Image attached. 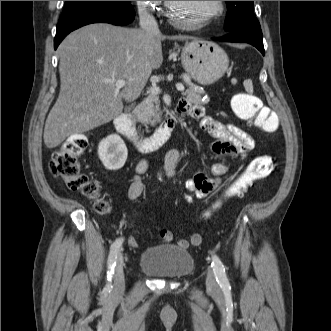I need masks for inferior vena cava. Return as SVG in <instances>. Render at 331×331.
I'll use <instances>...</instances> for the list:
<instances>
[{
  "mask_svg": "<svg viewBox=\"0 0 331 331\" xmlns=\"http://www.w3.org/2000/svg\"><path fill=\"white\" fill-rule=\"evenodd\" d=\"M140 27L152 35L160 34L158 24L153 15L146 10L140 12Z\"/></svg>",
  "mask_w": 331,
  "mask_h": 331,
  "instance_id": "inferior-vena-cava-1",
  "label": "inferior vena cava"
}]
</instances>
